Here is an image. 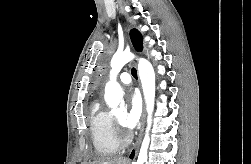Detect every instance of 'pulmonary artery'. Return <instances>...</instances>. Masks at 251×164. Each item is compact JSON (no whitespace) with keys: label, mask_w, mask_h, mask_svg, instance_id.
<instances>
[{"label":"pulmonary artery","mask_w":251,"mask_h":164,"mask_svg":"<svg viewBox=\"0 0 251 164\" xmlns=\"http://www.w3.org/2000/svg\"><path fill=\"white\" fill-rule=\"evenodd\" d=\"M119 81L122 84H130L131 83V76H130V74L127 73V72L121 73L120 76H119Z\"/></svg>","instance_id":"e3ab8cb5"}]
</instances>
